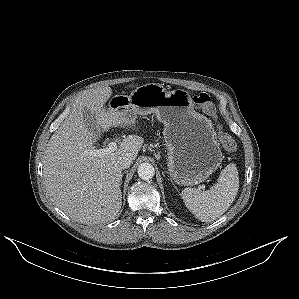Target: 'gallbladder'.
Masks as SVG:
<instances>
[{"instance_id":"obj_1","label":"gallbladder","mask_w":299,"mask_h":299,"mask_svg":"<svg viewBox=\"0 0 299 299\" xmlns=\"http://www.w3.org/2000/svg\"><path fill=\"white\" fill-rule=\"evenodd\" d=\"M83 120L87 129L95 134H99V125L94 114L90 111V109L85 108L83 111Z\"/></svg>"}]
</instances>
